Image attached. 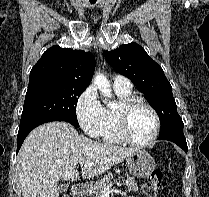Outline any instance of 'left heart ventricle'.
Instances as JSON below:
<instances>
[{"label":"left heart ventricle","instance_id":"1","mask_svg":"<svg viewBox=\"0 0 209 197\" xmlns=\"http://www.w3.org/2000/svg\"><path fill=\"white\" fill-rule=\"evenodd\" d=\"M128 127L135 140H147L154 129V117L151 111L144 105H136L129 113Z\"/></svg>","mask_w":209,"mask_h":197}]
</instances>
